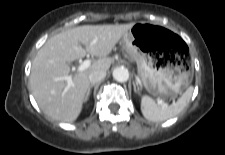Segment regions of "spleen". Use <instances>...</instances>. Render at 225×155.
<instances>
[{
    "label": "spleen",
    "mask_w": 225,
    "mask_h": 155,
    "mask_svg": "<svg viewBox=\"0 0 225 155\" xmlns=\"http://www.w3.org/2000/svg\"><path fill=\"white\" fill-rule=\"evenodd\" d=\"M194 88L190 86L183 95L171 105L167 107H160L149 96L141 98V111L143 116L153 122L165 121L177 116L188 104L191 99Z\"/></svg>",
    "instance_id": "3e777b00"
}]
</instances>
